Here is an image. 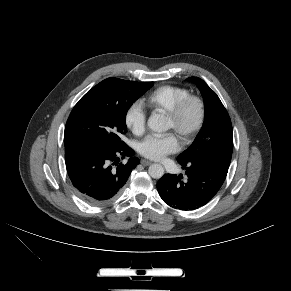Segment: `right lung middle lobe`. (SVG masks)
<instances>
[{"mask_svg": "<svg viewBox=\"0 0 291 291\" xmlns=\"http://www.w3.org/2000/svg\"><path fill=\"white\" fill-rule=\"evenodd\" d=\"M154 83L117 78L103 80L88 91L73 108L64 131V145L78 141L123 145L128 109Z\"/></svg>", "mask_w": 291, "mask_h": 291, "instance_id": "dd1d6c3e", "label": "right lung middle lobe"}]
</instances>
